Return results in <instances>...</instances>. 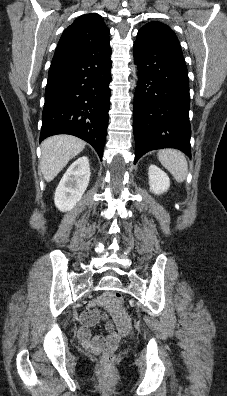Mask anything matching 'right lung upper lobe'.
Wrapping results in <instances>:
<instances>
[{"mask_svg":"<svg viewBox=\"0 0 227 396\" xmlns=\"http://www.w3.org/2000/svg\"><path fill=\"white\" fill-rule=\"evenodd\" d=\"M109 41V29L102 18L96 13L85 14L64 30L54 57L81 53Z\"/></svg>","mask_w":227,"mask_h":396,"instance_id":"obj_1","label":"right lung upper lobe"}]
</instances>
